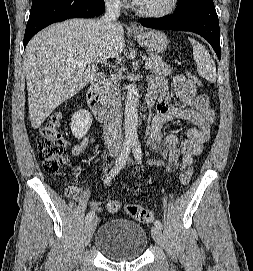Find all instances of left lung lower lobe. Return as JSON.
I'll return each mask as SVG.
<instances>
[{"label": "left lung lower lobe", "mask_w": 253, "mask_h": 271, "mask_svg": "<svg viewBox=\"0 0 253 271\" xmlns=\"http://www.w3.org/2000/svg\"><path fill=\"white\" fill-rule=\"evenodd\" d=\"M186 7L177 5L176 11L163 18H144L140 23L148 28L191 31L204 37L220 60V28L213 0H190Z\"/></svg>", "instance_id": "1"}]
</instances>
